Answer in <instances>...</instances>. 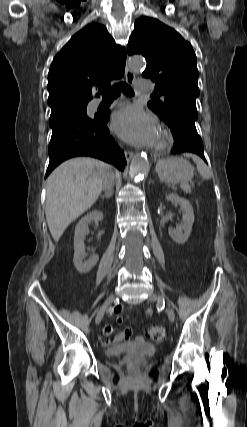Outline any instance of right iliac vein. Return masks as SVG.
<instances>
[{
  "label": "right iliac vein",
  "instance_id": "right-iliac-vein-1",
  "mask_svg": "<svg viewBox=\"0 0 247 427\" xmlns=\"http://www.w3.org/2000/svg\"><path fill=\"white\" fill-rule=\"evenodd\" d=\"M115 300V295L111 294L107 297L106 301L104 302V304L102 305V307L99 309L97 315H96V319L95 322L96 324H99L104 316L105 311L110 307V305L114 302Z\"/></svg>",
  "mask_w": 247,
  "mask_h": 427
}]
</instances>
